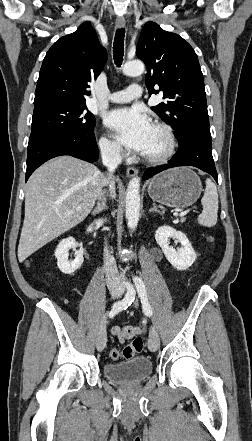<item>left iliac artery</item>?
<instances>
[{
  "mask_svg": "<svg viewBox=\"0 0 252 441\" xmlns=\"http://www.w3.org/2000/svg\"><path fill=\"white\" fill-rule=\"evenodd\" d=\"M134 282L137 288V292L138 295L141 299V303H142V307H143V312L147 315V316H152V307L148 301V297H147V292H146V288H145V284L142 281L141 278L135 276L134 278Z\"/></svg>",
  "mask_w": 252,
  "mask_h": 441,
  "instance_id": "obj_1",
  "label": "left iliac artery"
}]
</instances>
